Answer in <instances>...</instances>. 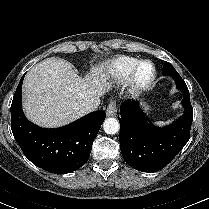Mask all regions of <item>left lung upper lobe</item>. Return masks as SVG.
I'll list each match as a JSON object with an SVG mask.
<instances>
[{
  "instance_id": "left-lung-upper-lobe-1",
  "label": "left lung upper lobe",
  "mask_w": 209,
  "mask_h": 209,
  "mask_svg": "<svg viewBox=\"0 0 209 209\" xmlns=\"http://www.w3.org/2000/svg\"><path fill=\"white\" fill-rule=\"evenodd\" d=\"M163 74L172 76L174 74H178V72L174 69V67L169 62H164Z\"/></svg>"
}]
</instances>
